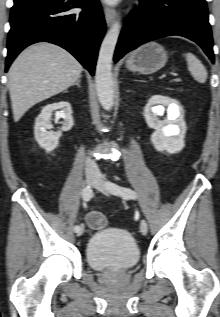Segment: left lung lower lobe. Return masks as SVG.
Listing matches in <instances>:
<instances>
[{
	"label": "left lung lower lobe",
	"mask_w": 220,
	"mask_h": 317,
	"mask_svg": "<svg viewBox=\"0 0 220 317\" xmlns=\"http://www.w3.org/2000/svg\"><path fill=\"white\" fill-rule=\"evenodd\" d=\"M179 35L199 44L212 62L213 40L205 0H140L127 18L114 61L150 40Z\"/></svg>",
	"instance_id": "obj_1"
}]
</instances>
